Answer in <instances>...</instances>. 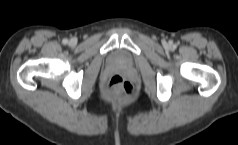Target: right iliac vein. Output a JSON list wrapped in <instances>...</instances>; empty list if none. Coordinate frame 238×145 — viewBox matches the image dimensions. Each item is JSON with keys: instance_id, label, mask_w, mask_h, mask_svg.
Masks as SVG:
<instances>
[{"instance_id": "right-iliac-vein-1", "label": "right iliac vein", "mask_w": 238, "mask_h": 145, "mask_svg": "<svg viewBox=\"0 0 238 145\" xmlns=\"http://www.w3.org/2000/svg\"><path fill=\"white\" fill-rule=\"evenodd\" d=\"M69 44H70V45H75V44H76V40H75V39H71V40L69 41Z\"/></svg>"}]
</instances>
